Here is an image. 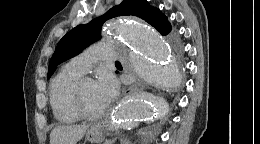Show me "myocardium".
<instances>
[{"instance_id":"myocardium-1","label":"myocardium","mask_w":260,"mask_h":144,"mask_svg":"<svg viewBox=\"0 0 260 144\" xmlns=\"http://www.w3.org/2000/svg\"><path fill=\"white\" fill-rule=\"evenodd\" d=\"M94 82L93 79L89 77H82L76 83L72 98H71V107L76 115L84 120L93 121L102 117L105 113L106 108H103L101 111L90 113L86 110L83 105V88L87 83Z\"/></svg>"}]
</instances>
